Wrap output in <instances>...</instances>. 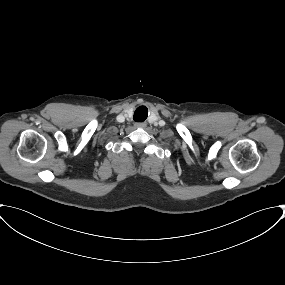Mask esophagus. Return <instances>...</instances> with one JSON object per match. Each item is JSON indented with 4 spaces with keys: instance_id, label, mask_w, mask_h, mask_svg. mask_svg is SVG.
Returning <instances> with one entry per match:
<instances>
[{
    "instance_id": "34e87169",
    "label": "esophagus",
    "mask_w": 285,
    "mask_h": 285,
    "mask_svg": "<svg viewBox=\"0 0 285 285\" xmlns=\"http://www.w3.org/2000/svg\"><path fill=\"white\" fill-rule=\"evenodd\" d=\"M145 123H140V122H138V123H135V127H137V128H141V127H145Z\"/></svg>"
}]
</instances>
